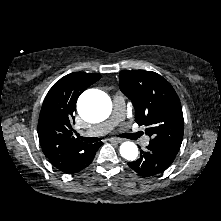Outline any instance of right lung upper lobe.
Masks as SVG:
<instances>
[{
    "label": "right lung upper lobe",
    "mask_w": 221,
    "mask_h": 221,
    "mask_svg": "<svg viewBox=\"0 0 221 221\" xmlns=\"http://www.w3.org/2000/svg\"><path fill=\"white\" fill-rule=\"evenodd\" d=\"M101 78L75 72L57 81L46 95L38 121V136L45 156L65 173L75 169L91 144L73 136L72 123L79 95Z\"/></svg>",
    "instance_id": "obj_1"
}]
</instances>
